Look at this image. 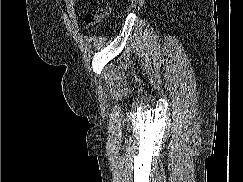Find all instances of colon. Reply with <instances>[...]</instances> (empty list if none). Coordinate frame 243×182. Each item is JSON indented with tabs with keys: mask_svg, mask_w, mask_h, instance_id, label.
<instances>
[{
	"mask_svg": "<svg viewBox=\"0 0 243 182\" xmlns=\"http://www.w3.org/2000/svg\"><path fill=\"white\" fill-rule=\"evenodd\" d=\"M108 14V9H98L92 11L85 16V22L88 26H93L101 22L105 16Z\"/></svg>",
	"mask_w": 243,
	"mask_h": 182,
	"instance_id": "obj_1",
	"label": "colon"
}]
</instances>
